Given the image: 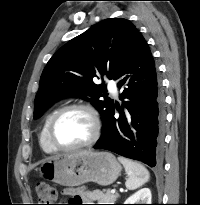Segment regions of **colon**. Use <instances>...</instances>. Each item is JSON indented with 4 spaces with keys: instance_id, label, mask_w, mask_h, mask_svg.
I'll return each mask as SVG.
<instances>
[{
    "instance_id": "5ec220e1",
    "label": "colon",
    "mask_w": 200,
    "mask_h": 205,
    "mask_svg": "<svg viewBox=\"0 0 200 205\" xmlns=\"http://www.w3.org/2000/svg\"><path fill=\"white\" fill-rule=\"evenodd\" d=\"M35 191L38 198V205H55L57 192L53 186L44 181H39L35 185Z\"/></svg>"
}]
</instances>
